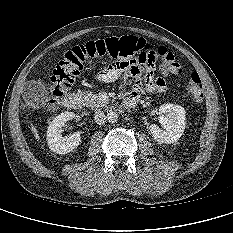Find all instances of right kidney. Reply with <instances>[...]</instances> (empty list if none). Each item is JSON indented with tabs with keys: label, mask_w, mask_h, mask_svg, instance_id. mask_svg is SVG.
<instances>
[{
	"label": "right kidney",
	"mask_w": 233,
	"mask_h": 233,
	"mask_svg": "<svg viewBox=\"0 0 233 233\" xmlns=\"http://www.w3.org/2000/svg\"><path fill=\"white\" fill-rule=\"evenodd\" d=\"M75 117L73 112H64L56 116L47 130V142L51 151L66 154L76 149L81 143L79 132L63 136V127L67 121Z\"/></svg>",
	"instance_id": "ca27d5eb"
}]
</instances>
